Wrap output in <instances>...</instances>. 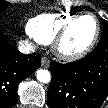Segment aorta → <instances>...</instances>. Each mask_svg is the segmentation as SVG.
I'll return each mask as SVG.
<instances>
[{"label":"aorta","instance_id":"1","mask_svg":"<svg viewBox=\"0 0 108 108\" xmlns=\"http://www.w3.org/2000/svg\"><path fill=\"white\" fill-rule=\"evenodd\" d=\"M37 80L41 83H49L51 81V74L48 70L39 69L36 72Z\"/></svg>","mask_w":108,"mask_h":108}]
</instances>
